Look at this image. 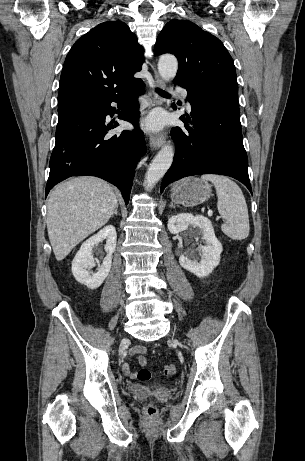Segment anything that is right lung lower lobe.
<instances>
[{"mask_svg": "<svg viewBox=\"0 0 305 461\" xmlns=\"http://www.w3.org/2000/svg\"><path fill=\"white\" fill-rule=\"evenodd\" d=\"M145 92L140 83L131 91L109 99H98L58 107L56 143L50 158V173L45 196L57 183L71 176L100 177L121 191L128 204L135 167L145 153L144 136L138 127L137 97ZM135 93V95H134ZM133 95L130 103L126 102ZM122 109L120 119L131 122L135 129L112 135L118 123L105 125L107 115Z\"/></svg>", "mask_w": 305, "mask_h": 461, "instance_id": "obj_1", "label": "right lung lower lobe"}]
</instances>
